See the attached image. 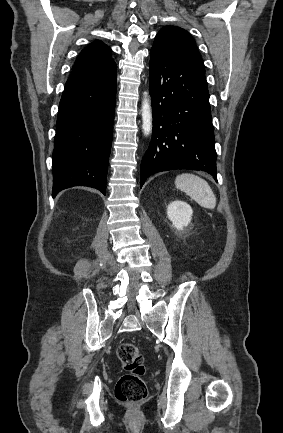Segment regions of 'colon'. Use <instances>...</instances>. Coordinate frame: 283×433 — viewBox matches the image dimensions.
Listing matches in <instances>:
<instances>
[{
    "label": "colon",
    "mask_w": 283,
    "mask_h": 433,
    "mask_svg": "<svg viewBox=\"0 0 283 433\" xmlns=\"http://www.w3.org/2000/svg\"><path fill=\"white\" fill-rule=\"evenodd\" d=\"M116 355L125 370L116 385V399L124 403H138L147 396L146 384L143 380L145 366L143 356L132 343H121Z\"/></svg>",
    "instance_id": "colon-1"
}]
</instances>
